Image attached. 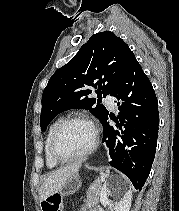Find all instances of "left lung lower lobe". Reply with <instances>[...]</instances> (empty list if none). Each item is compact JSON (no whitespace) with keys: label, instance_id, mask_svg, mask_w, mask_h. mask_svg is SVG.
I'll use <instances>...</instances> for the list:
<instances>
[{"label":"left lung lower lobe","instance_id":"left-lung-lower-lobe-1","mask_svg":"<svg viewBox=\"0 0 179 211\" xmlns=\"http://www.w3.org/2000/svg\"><path fill=\"white\" fill-rule=\"evenodd\" d=\"M111 95L117 99L116 127L102 122L103 142L110 148L109 164L124 173L141 190L155 157L158 135V101L155 91L132 54Z\"/></svg>","mask_w":179,"mask_h":211}]
</instances>
